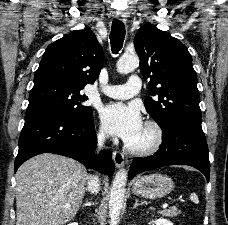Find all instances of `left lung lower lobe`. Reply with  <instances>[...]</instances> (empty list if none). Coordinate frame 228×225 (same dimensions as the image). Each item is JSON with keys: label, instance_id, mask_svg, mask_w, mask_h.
<instances>
[{"label": "left lung lower lobe", "instance_id": "0a47b994", "mask_svg": "<svg viewBox=\"0 0 228 225\" xmlns=\"http://www.w3.org/2000/svg\"><path fill=\"white\" fill-rule=\"evenodd\" d=\"M162 130L159 150L149 157L134 158L128 172L129 179L138 173L163 166L189 165L201 171L209 181L208 146L201 123L173 120Z\"/></svg>", "mask_w": 228, "mask_h": 225}]
</instances>
